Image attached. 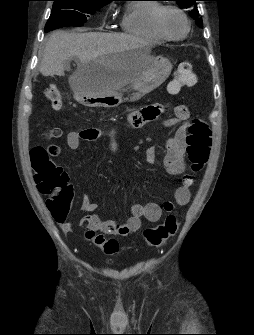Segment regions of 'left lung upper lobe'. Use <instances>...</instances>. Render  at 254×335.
Returning <instances> with one entry per match:
<instances>
[{
	"mask_svg": "<svg viewBox=\"0 0 254 335\" xmlns=\"http://www.w3.org/2000/svg\"><path fill=\"white\" fill-rule=\"evenodd\" d=\"M176 1L181 7L183 8H189V7H196V1L197 0H173ZM198 10L195 9L192 12H190V15L197 21V24L200 27H203L202 19L198 17Z\"/></svg>",
	"mask_w": 254,
	"mask_h": 335,
	"instance_id": "left-lung-upper-lobe-1",
	"label": "left lung upper lobe"
}]
</instances>
